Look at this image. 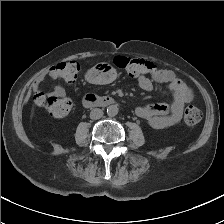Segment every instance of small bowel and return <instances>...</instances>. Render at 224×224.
<instances>
[{"instance_id":"obj_1","label":"small bowel","mask_w":224,"mask_h":224,"mask_svg":"<svg viewBox=\"0 0 224 224\" xmlns=\"http://www.w3.org/2000/svg\"><path fill=\"white\" fill-rule=\"evenodd\" d=\"M54 66L43 71L34 80L32 88L36 93L42 92L40 91V86L46 78L49 77L53 80L60 79L58 73L54 71ZM115 78V70L106 63L95 65L87 72L86 75V79L89 82L96 84H108L113 82ZM152 81L167 85L169 90L173 93V103L171 105L156 103L139 106L135 110L136 115L154 129H164L173 126L180 121L185 106L193 100L192 91L185 83L178 79L174 72L170 70H161L160 74L151 75V78L146 76H140L137 78L139 87L147 92L153 90ZM45 94L58 98H66L65 89L58 84L53 86L50 93Z\"/></svg>"}]
</instances>
